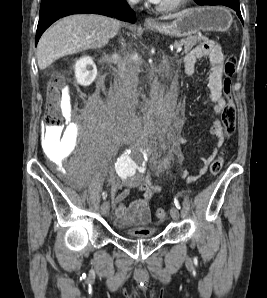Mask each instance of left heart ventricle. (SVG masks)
I'll return each instance as SVG.
<instances>
[{
	"mask_svg": "<svg viewBox=\"0 0 267 298\" xmlns=\"http://www.w3.org/2000/svg\"><path fill=\"white\" fill-rule=\"evenodd\" d=\"M177 0H160L158 4L160 5H170L172 3H174Z\"/></svg>",
	"mask_w": 267,
	"mask_h": 298,
	"instance_id": "obj_1",
	"label": "left heart ventricle"
}]
</instances>
